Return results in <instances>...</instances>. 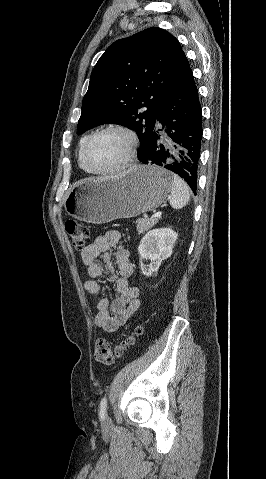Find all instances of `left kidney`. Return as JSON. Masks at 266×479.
<instances>
[{"label": "left kidney", "instance_id": "obj_1", "mask_svg": "<svg viewBox=\"0 0 266 479\" xmlns=\"http://www.w3.org/2000/svg\"><path fill=\"white\" fill-rule=\"evenodd\" d=\"M176 239L177 233L171 228L153 229L145 234L138 246L140 257L150 260L148 268L141 264V270L145 276L155 274L161 262L171 256Z\"/></svg>", "mask_w": 266, "mask_h": 479}]
</instances>
